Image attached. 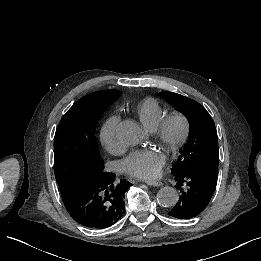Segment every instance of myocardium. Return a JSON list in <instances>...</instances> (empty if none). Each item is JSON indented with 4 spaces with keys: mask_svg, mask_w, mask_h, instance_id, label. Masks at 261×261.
Returning a JSON list of instances; mask_svg holds the SVG:
<instances>
[{
    "mask_svg": "<svg viewBox=\"0 0 261 261\" xmlns=\"http://www.w3.org/2000/svg\"><path fill=\"white\" fill-rule=\"evenodd\" d=\"M176 126L179 128V133L173 136V129ZM146 128L153 140L165 147L171 158L185 149L192 136L191 120L181 112L166 114L156 125Z\"/></svg>",
    "mask_w": 261,
    "mask_h": 261,
    "instance_id": "obj_1",
    "label": "myocardium"
}]
</instances>
